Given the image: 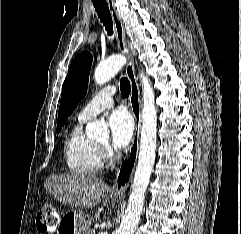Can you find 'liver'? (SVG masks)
<instances>
[{
    "mask_svg": "<svg viewBox=\"0 0 241 234\" xmlns=\"http://www.w3.org/2000/svg\"><path fill=\"white\" fill-rule=\"evenodd\" d=\"M44 187L62 203L80 208L96 206L109 190L101 179L84 174H53Z\"/></svg>",
    "mask_w": 241,
    "mask_h": 234,
    "instance_id": "liver-1",
    "label": "liver"
}]
</instances>
